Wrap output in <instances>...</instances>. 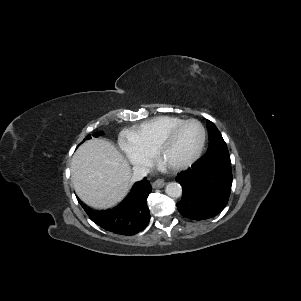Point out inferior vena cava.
Segmentation results:
<instances>
[{
	"label": "inferior vena cava",
	"mask_w": 301,
	"mask_h": 301,
	"mask_svg": "<svg viewBox=\"0 0 301 301\" xmlns=\"http://www.w3.org/2000/svg\"><path fill=\"white\" fill-rule=\"evenodd\" d=\"M149 173V169L145 166L142 165H136L133 167V176L131 180L134 181H139L143 179L147 174Z\"/></svg>",
	"instance_id": "obj_1"
}]
</instances>
